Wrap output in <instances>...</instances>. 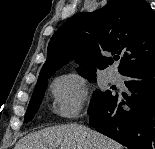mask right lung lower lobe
Instances as JSON below:
<instances>
[{
    "label": "right lung lower lobe",
    "mask_w": 155,
    "mask_h": 149,
    "mask_svg": "<svg viewBox=\"0 0 155 149\" xmlns=\"http://www.w3.org/2000/svg\"><path fill=\"white\" fill-rule=\"evenodd\" d=\"M122 75L132 95L114 96L92 111L89 124L130 149H155V65Z\"/></svg>",
    "instance_id": "1"
}]
</instances>
